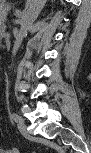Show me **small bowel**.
Here are the masks:
<instances>
[{"label":"small bowel","mask_w":91,"mask_h":153,"mask_svg":"<svg viewBox=\"0 0 91 153\" xmlns=\"http://www.w3.org/2000/svg\"><path fill=\"white\" fill-rule=\"evenodd\" d=\"M2 152L3 153H18V150L15 147H10V148H7V149H3Z\"/></svg>","instance_id":"c3829d8e"}]
</instances>
